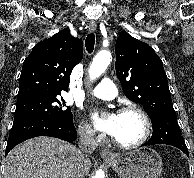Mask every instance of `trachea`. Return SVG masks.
<instances>
[{
	"label": "trachea",
	"mask_w": 194,
	"mask_h": 178,
	"mask_svg": "<svg viewBox=\"0 0 194 178\" xmlns=\"http://www.w3.org/2000/svg\"><path fill=\"white\" fill-rule=\"evenodd\" d=\"M94 44H95V35L93 33H90L87 35L86 40H85V47L88 53L93 52Z\"/></svg>",
	"instance_id": "3493384b"
}]
</instances>
